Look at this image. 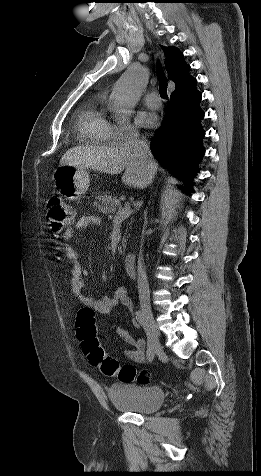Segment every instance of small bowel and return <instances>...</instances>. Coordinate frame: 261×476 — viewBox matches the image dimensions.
Listing matches in <instances>:
<instances>
[{
	"label": "small bowel",
	"mask_w": 261,
	"mask_h": 476,
	"mask_svg": "<svg viewBox=\"0 0 261 476\" xmlns=\"http://www.w3.org/2000/svg\"><path fill=\"white\" fill-rule=\"evenodd\" d=\"M101 224V219L97 215H83L79 218L73 227L68 228L64 233L66 240L73 239L77 232L90 228L98 227ZM61 249L65 256L71 260L72 266L70 269L69 285L72 293L77 300L85 307H90L100 316H106L111 310L121 305L126 309L133 310V302L128 297L125 288L119 287L112 296L95 297L93 295L83 293V289L88 286L83 277V270L78 263V255L75 249L68 243L61 246ZM134 326H137L136 322H133ZM117 335L126 344L133 347L132 350L124 352V356L133 361H142L145 355L146 344L143 339L134 338L125 328L119 327L117 329Z\"/></svg>",
	"instance_id": "obj_1"
}]
</instances>
